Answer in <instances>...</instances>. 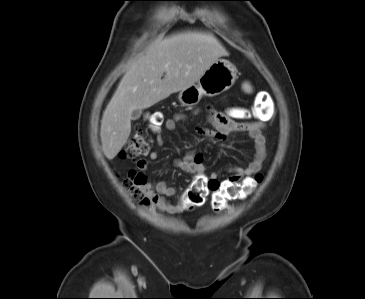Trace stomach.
I'll use <instances>...</instances> for the list:
<instances>
[{"label": "stomach", "mask_w": 365, "mask_h": 299, "mask_svg": "<svg viewBox=\"0 0 365 299\" xmlns=\"http://www.w3.org/2000/svg\"><path fill=\"white\" fill-rule=\"evenodd\" d=\"M236 79L235 66L226 59H218L194 85L181 90L178 99L183 106H195L203 96L213 97L227 91L234 85Z\"/></svg>", "instance_id": "obj_1"}]
</instances>
